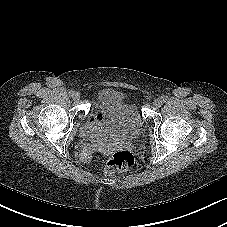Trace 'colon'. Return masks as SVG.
Listing matches in <instances>:
<instances>
[{
    "label": "colon",
    "instance_id": "obj_1",
    "mask_svg": "<svg viewBox=\"0 0 227 227\" xmlns=\"http://www.w3.org/2000/svg\"><path fill=\"white\" fill-rule=\"evenodd\" d=\"M135 155L127 150L115 152L106 162L105 173L112 175L116 171L128 168L135 163Z\"/></svg>",
    "mask_w": 227,
    "mask_h": 227
}]
</instances>
